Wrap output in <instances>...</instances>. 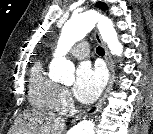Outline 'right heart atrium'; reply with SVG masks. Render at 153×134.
<instances>
[{
    "instance_id": "d8ad5b80",
    "label": "right heart atrium",
    "mask_w": 153,
    "mask_h": 134,
    "mask_svg": "<svg viewBox=\"0 0 153 134\" xmlns=\"http://www.w3.org/2000/svg\"><path fill=\"white\" fill-rule=\"evenodd\" d=\"M73 107L72 98L67 89L60 87L57 100V108L63 113H68Z\"/></svg>"
}]
</instances>
